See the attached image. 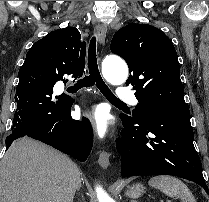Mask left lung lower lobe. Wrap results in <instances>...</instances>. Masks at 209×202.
<instances>
[{
  "label": "left lung lower lobe",
  "instance_id": "0a47b994",
  "mask_svg": "<svg viewBox=\"0 0 209 202\" xmlns=\"http://www.w3.org/2000/svg\"><path fill=\"white\" fill-rule=\"evenodd\" d=\"M124 129L116 139L122 177L173 175L193 181L209 195L194 148L190 113L145 108L137 119L120 116Z\"/></svg>",
  "mask_w": 209,
  "mask_h": 202
}]
</instances>
